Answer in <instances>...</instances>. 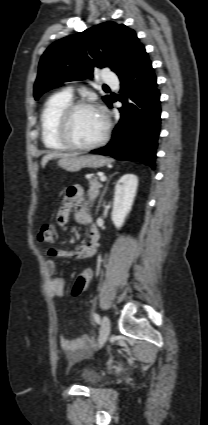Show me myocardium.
<instances>
[{
  "label": "myocardium",
  "instance_id": "1",
  "mask_svg": "<svg viewBox=\"0 0 208 425\" xmlns=\"http://www.w3.org/2000/svg\"><path fill=\"white\" fill-rule=\"evenodd\" d=\"M82 109L95 110L99 112L104 119V131L101 137L97 141L90 144H86V145L77 143L73 139L71 134V126H72L74 115L76 114L77 111ZM109 131H110L109 120L106 114L100 108H98L94 104H91L85 101H77V102H72L62 111L58 121L57 134L60 141L63 144H65L69 149L78 150V151H88V150H92L102 146L108 139Z\"/></svg>",
  "mask_w": 208,
  "mask_h": 425
}]
</instances>
